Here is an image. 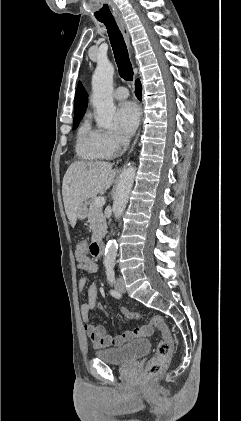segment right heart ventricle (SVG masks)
Here are the masks:
<instances>
[{
	"instance_id": "right-heart-ventricle-1",
	"label": "right heart ventricle",
	"mask_w": 241,
	"mask_h": 421,
	"mask_svg": "<svg viewBox=\"0 0 241 421\" xmlns=\"http://www.w3.org/2000/svg\"><path fill=\"white\" fill-rule=\"evenodd\" d=\"M77 154L86 160L106 158L98 141V131L91 128L87 121L79 127L76 141Z\"/></svg>"
}]
</instances>
